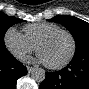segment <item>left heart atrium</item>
<instances>
[{
    "mask_svg": "<svg viewBox=\"0 0 89 89\" xmlns=\"http://www.w3.org/2000/svg\"><path fill=\"white\" fill-rule=\"evenodd\" d=\"M36 60H37L39 63H43V64H46V63H47L46 60H45V58L43 57V55L40 54V53L37 54Z\"/></svg>",
    "mask_w": 89,
    "mask_h": 89,
    "instance_id": "left-heart-atrium-1",
    "label": "left heart atrium"
}]
</instances>
